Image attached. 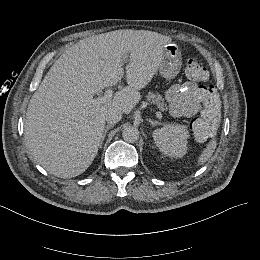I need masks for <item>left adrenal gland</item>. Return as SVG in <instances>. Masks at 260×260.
I'll list each match as a JSON object with an SVG mask.
<instances>
[{"instance_id":"a2214340","label":"left adrenal gland","mask_w":260,"mask_h":260,"mask_svg":"<svg viewBox=\"0 0 260 260\" xmlns=\"http://www.w3.org/2000/svg\"><path fill=\"white\" fill-rule=\"evenodd\" d=\"M147 121L152 124L153 128H155L156 126H164L162 123L154 121L152 119H147Z\"/></svg>"}]
</instances>
